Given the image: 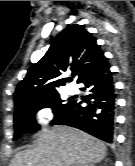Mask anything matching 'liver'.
<instances>
[{"label": "liver", "instance_id": "1", "mask_svg": "<svg viewBox=\"0 0 135 166\" xmlns=\"http://www.w3.org/2000/svg\"><path fill=\"white\" fill-rule=\"evenodd\" d=\"M36 137L35 147L16 154L9 166H84L106 156L102 141L69 126L44 128Z\"/></svg>", "mask_w": 135, "mask_h": 166}]
</instances>
